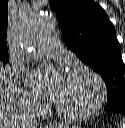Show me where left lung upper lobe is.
Instances as JSON below:
<instances>
[{"mask_svg": "<svg viewBox=\"0 0 125 128\" xmlns=\"http://www.w3.org/2000/svg\"><path fill=\"white\" fill-rule=\"evenodd\" d=\"M67 47L98 72L107 87L105 107L125 106L124 63L113 24L92 0H50Z\"/></svg>", "mask_w": 125, "mask_h": 128, "instance_id": "1", "label": "left lung upper lobe"}]
</instances>
